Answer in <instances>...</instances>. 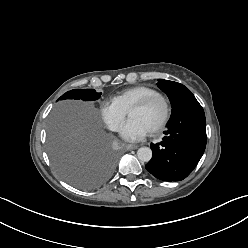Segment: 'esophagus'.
I'll use <instances>...</instances> for the list:
<instances>
[{
  "instance_id": "1",
  "label": "esophagus",
  "mask_w": 248,
  "mask_h": 248,
  "mask_svg": "<svg viewBox=\"0 0 248 248\" xmlns=\"http://www.w3.org/2000/svg\"><path fill=\"white\" fill-rule=\"evenodd\" d=\"M138 148V145H132V144H126L125 145V149L126 150H134V149H137Z\"/></svg>"
}]
</instances>
